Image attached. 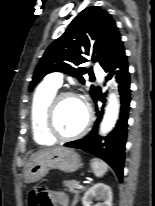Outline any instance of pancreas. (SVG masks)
<instances>
[{"label": "pancreas", "mask_w": 155, "mask_h": 206, "mask_svg": "<svg viewBox=\"0 0 155 206\" xmlns=\"http://www.w3.org/2000/svg\"><path fill=\"white\" fill-rule=\"evenodd\" d=\"M63 185L66 187V190H68L70 193H73V194L80 193V190L77 188V186L79 185V182L76 180L64 181Z\"/></svg>", "instance_id": "pancreas-1"}]
</instances>
